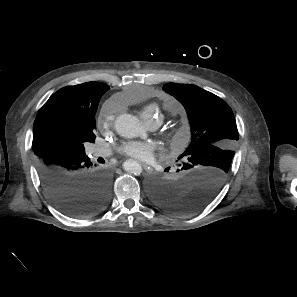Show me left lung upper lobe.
Returning <instances> with one entry per match:
<instances>
[{"label": "left lung upper lobe", "mask_w": 297, "mask_h": 297, "mask_svg": "<svg viewBox=\"0 0 297 297\" xmlns=\"http://www.w3.org/2000/svg\"><path fill=\"white\" fill-rule=\"evenodd\" d=\"M163 90L183 104L191 124V143L178 159L188 167L214 166L227 176L239 139L231 108L195 85L168 83Z\"/></svg>", "instance_id": "1"}]
</instances>
